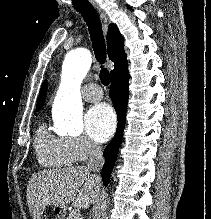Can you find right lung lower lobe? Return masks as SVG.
I'll return each instance as SVG.
<instances>
[{"label": "right lung lower lobe", "mask_w": 211, "mask_h": 219, "mask_svg": "<svg viewBox=\"0 0 211 219\" xmlns=\"http://www.w3.org/2000/svg\"><path fill=\"white\" fill-rule=\"evenodd\" d=\"M128 67L120 70L111 77L110 97L112 99L115 111L118 117V127L116 134L110 144L104 150L105 164L102 170V180L105 185H108L113 165L121 144L123 131L125 127L126 106L128 101Z\"/></svg>", "instance_id": "right-lung-lower-lobe-1"}]
</instances>
